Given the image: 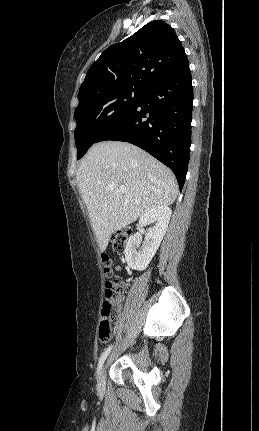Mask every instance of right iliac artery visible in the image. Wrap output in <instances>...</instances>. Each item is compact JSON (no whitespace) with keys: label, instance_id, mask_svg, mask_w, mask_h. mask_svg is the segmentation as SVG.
Wrapping results in <instances>:
<instances>
[{"label":"right iliac artery","instance_id":"1","mask_svg":"<svg viewBox=\"0 0 259 431\" xmlns=\"http://www.w3.org/2000/svg\"><path fill=\"white\" fill-rule=\"evenodd\" d=\"M112 349V346H109L101 355L99 362H98V367H97V376H99L100 370L103 366V363L105 361V359L107 358V356L109 355L110 351Z\"/></svg>","mask_w":259,"mask_h":431}]
</instances>
